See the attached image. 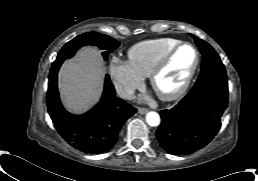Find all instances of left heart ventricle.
Returning <instances> with one entry per match:
<instances>
[{
  "label": "left heart ventricle",
  "mask_w": 258,
  "mask_h": 181,
  "mask_svg": "<svg viewBox=\"0 0 258 181\" xmlns=\"http://www.w3.org/2000/svg\"><path fill=\"white\" fill-rule=\"evenodd\" d=\"M195 62V52L189 46L180 48L157 80V89L164 93L175 91L185 80Z\"/></svg>",
  "instance_id": "1"
}]
</instances>
